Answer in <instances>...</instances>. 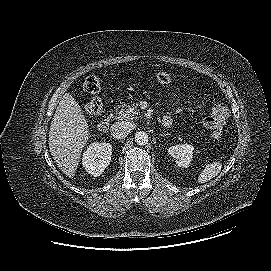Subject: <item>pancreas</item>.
<instances>
[{
  "mask_svg": "<svg viewBox=\"0 0 271 271\" xmlns=\"http://www.w3.org/2000/svg\"><path fill=\"white\" fill-rule=\"evenodd\" d=\"M126 107V109H124L123 106L117 108V120L132 121L140 117V110L138 109V104L128 103Z\"/></svg>",
  "mask_w": 271,
  "mask_h": 271,
  "instance_id": "cf45deb5",
  "label": "pancreas"
}]
</instances>
